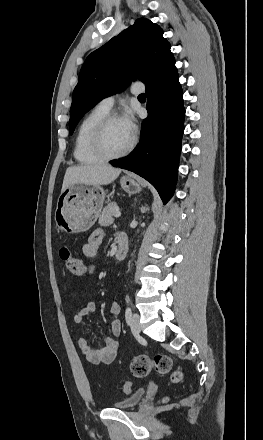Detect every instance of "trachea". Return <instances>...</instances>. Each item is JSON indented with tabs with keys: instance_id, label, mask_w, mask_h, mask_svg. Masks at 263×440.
I'll list each match as a JSON object with an SVG mask.
<instances>
[{
	"instance_id": "1",
	"label": "trachea",
	"mask_w": 263,
	"mask_h": 440,
	"mask_svg": "<svg viewBox=\"0 0 263 440\" xmlns=\"http://www.w3.org/2000/svg\"><path fill=\"white\" fill-rule=\"evenodd\" d=\"M138 97H145V94H140Z\"/></svg>"
}]
</instances>
